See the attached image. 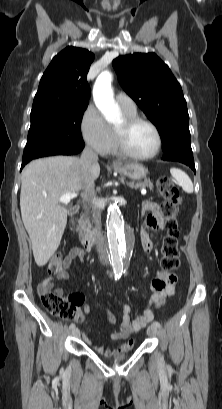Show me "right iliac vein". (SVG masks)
<instances>
[{"label": "right iliac vein", "mask_w": 222, "mask_h": 409, "mask_svg": "<svg viewBox=\"0 0 222 409\" xmlns=\"http://www.w3.org/2000/svg\"><path fill=\"white\" fill-rule=\"evenodd\" d=\"M72 335H73L74 337H78V336L80 335L79 329H78V328H74V329L72 330Z\"/></svg>", "instance_id": "right-iliac-vein-1"}]
</instances>
